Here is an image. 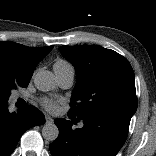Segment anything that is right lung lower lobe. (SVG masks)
<instances>
[{"label": "right lung lower lobe", "mask_w": 156, "mask_h": 156, "mask_svg": "<svg viewBox=\"0 0 156 156\" xmlns=\"http://www.w3.org/2000/svg\"><path fill=\"white\" fill-rule=\"evenodd\" d=\"M7 103L8 100L0 99V156H9L27 129L45 123L44 115L36 107L10 113Z\"/></svg>", "instance_id": "obj_1"}]
</instances>
